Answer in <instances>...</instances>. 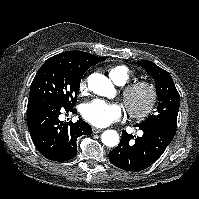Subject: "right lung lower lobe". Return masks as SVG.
Returning a JSON list of instances; mask_svg holds the SVG:
<instances>
[{"mask_svg":"<svg viewBox=\"0 0 199 199\" xmlns=\"http://www.w3.org/2000/svg\"><path fill=\"white\" fill-rule=\"evenodd\" d=\"M76 113L56 98L37 94L29 97L27 125L37 150L47 159L63 162L77 155V138L90 134L89 124L79 119L76 123L59 120L61 112Z\"/></svg>","mask_w":199,"mask_h":199,"instance_id":"1","label":"right lung lower lobe"}]
</instances>
